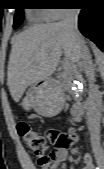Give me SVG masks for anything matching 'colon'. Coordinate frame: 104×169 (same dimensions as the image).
Here are the masks:
<instances>
[{
	"mask_svg": "<svg viewBox=\"0 0 104 169\" xmlns=\"http://www.w3.org/2000/svg\"><path fill=\"white\" fill-rule=\"evenodd\" d=\"M18 132L27 148L36 156L38 163L42 166L50 163V157L46 152L51 144L58 147H69L76 140L74 133H64L57 129H48L42 133L26 122L18 124Z\"/></svg>",
	"mask_w": 104,
	"mask_h": 169,
	"instance_id": "1",
	"label": "colon"
}]
</instances>
